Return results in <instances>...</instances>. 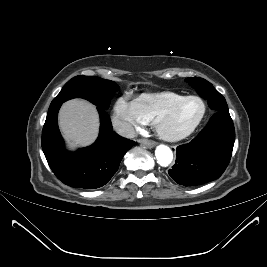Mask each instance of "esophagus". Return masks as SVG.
Here are the masks:
<instances>
[{"instance_id": "esophagus-1", "label": "esophagus", "mask_w": 267, "mask_h": 267, "mask_svg": "<svg viewBox=\"0 0 267 267\" xmlns=\"http://www.w3.org/2000/svg\"><path fill=\"white\" fill-rule=\"evenodd\" d=\"M139 143H141L142 145H144L148 148H152L156 144L154 141H150V140H146V139H140Z\"/></svg>"}]
</instances>
